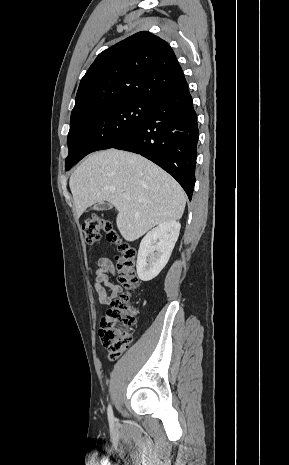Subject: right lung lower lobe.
Returning a JSON list of instances; mask_svg holds the SVG:
<instances>
[{"label":"right lung lower lobe","mask_w":289,"mask_h":465,"mask_svg":"<svg viewBox=\"0 0 289 465\" xmlns=\"http://www.w3.org/2000/svg\"><path fill=\"white\" fill-rule=\"evenodd\" d=\"M197 115L188 88L152 101L150 116L111 148L144 156L172 175L189 200L195 184Z\"/></svg>","instance_id":"obj_1"}]
</instances>
